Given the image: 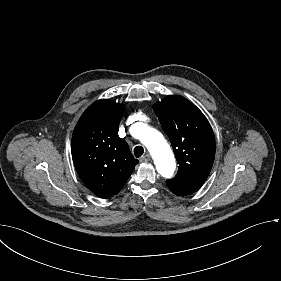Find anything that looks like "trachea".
<instances>
[{"label": "trachea", "mask_w": 281, "mask_h": 281, "mask_svg": "<svg viewBox=\"0 0 281 281\" xmlns=\"http://www.w3.org/2000/svg\"><path fill=\"white\" fill-rule=\"evenodd\" d=\"M144 153V148L142 146H136L134 148V155L139 158L143 155Z\"/></svg>", "instance_id": "trachea-1"}]
</instances>
